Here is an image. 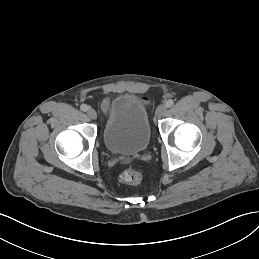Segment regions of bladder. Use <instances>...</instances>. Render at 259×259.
<instances>
[{
  "mask_svg": "<svg viewBox=\"0 0 259 259\" xmlns=\"http://www.w3.org/2000/svg\"><path fill=\"white\" fill-rule=\"evenodd\" d=\"M151 129L146 107L129 95L116 98L103 130L106 148L115 154L135 155L149 145Z\"/></svg>",
  "mask_w": 259,
  "mask_h": 259,
  "instance_id": "1",
  "label": "bladder"
}]
</instances>
